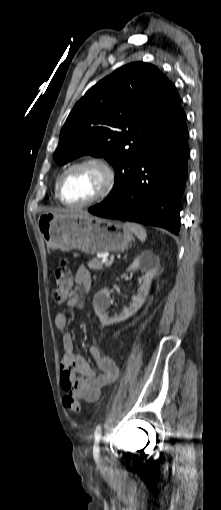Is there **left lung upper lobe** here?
<instances>
[{
	"label": "left lung upper lobe",
	"instance_id": "obj_1",
	"mask_svg": "<svg viewBox=\"0 0 221 510\" xmlns=\"http://www.w3.org/2000/svg\"><path fill=\"white\" fill-rule=\"evenodd\" d=\"M175 86L155 66L135 62L99 81L76 103L53 155L65 164L84 154L115 169L108 202L131 182L148 150L187 128Z\"/></svg>",
	"mask_w": 221,
	"mask_h": 510
}]
</instances>
